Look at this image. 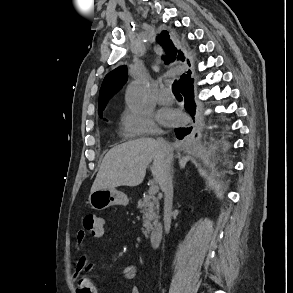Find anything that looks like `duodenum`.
<instances>
[{"instance_id":"duodenum-1","label":"duodenum","mask_w":293,"mask_h":293,"mask_svg":"<svg viewBox=\"0 0 293 293\" xmlns=\"http://www.w3.org/2000/svg\"><path fill=\"white\" fill-rule=\"evenodd\" d=\"M163 235V225L161 222L155 223L149 234V243L151 248L156 249L160 245Z\"/></svg>"}]
</instances>
